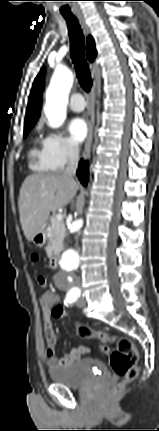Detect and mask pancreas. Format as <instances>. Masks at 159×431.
Listing matches in <instances>:
<instances>
[{"label":"pancreas","instance_id":"1","mask_svg":"<svg viewBox=\"0 0 159 431\" xmlns=\"http://www.w3.org/2000/svg\"><path fill=\"white\" fill-rule=\"evenodd\" d=\"M49 243L46 252L49 257L58 254L63 248V240L66 236V229L63 221H56L55 216L51 219V225L46 229Z\"/></svg>","mask_w":159,"mask_h":431}]
</instances>
